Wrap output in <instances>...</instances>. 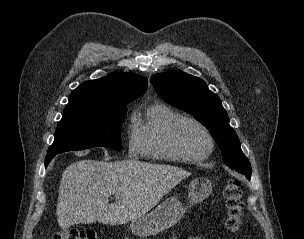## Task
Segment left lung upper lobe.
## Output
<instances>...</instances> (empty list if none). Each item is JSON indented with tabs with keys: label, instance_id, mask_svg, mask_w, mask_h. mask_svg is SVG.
Instances as JSON below:
<instances>
[{
	"label": "left lung upper lobe",
	"instance_id": "1",
	"mask_svg": "<svg viewBox=\"0 0 304 239\" xmlns=\"http://www.w3.org/2000/svg\"><path fill=\"white\" fill-rule=\"evenodd\" d=\"M151 83L163 100L191 114L210 131L228 167L250 178L251 165L241 150L237 134L229 125L227 112L219 97L202 79L175 70L153 75Z\"/></svg>",
	"mask_w": 304,
	"mask_h": 239
}]
</instances>
